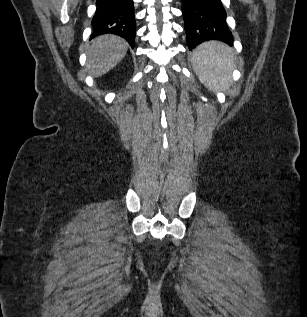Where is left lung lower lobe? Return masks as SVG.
<instances>
[{
	"mask_svg": "<svg viewBox=\"0 0 307 317\" xmlns=\"http://www.w3.org/2000/svg\"><path fill=\"white\" fill-rule=\"evenodd\" d=\"M182 13L190 50L208 40L232 46L233 36L221 0H182Z\"/></svg>",
	"mask_w": 307,
	"mask_h": 317,
	"instance_id": "0a47b994",
	"label": "left lung lower lobe"
}]
</instances>
